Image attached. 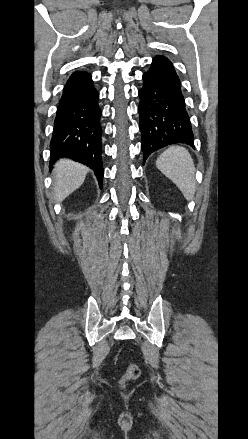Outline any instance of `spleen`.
<instances>
[{
  "label": "spleen",
  "mask_w": 248,
  "mask_h": 439,
  "mask_svg": "<svg viewBox=\"0 0 248 439\" xmlns=\"http://www.w3.org/2000/svg\"><path fill=\"white\" fill-rule=\"evenodd\" d=\"M156 166L187 200L193 199L196 191L195 166L186 148L178 145L169 147L157 158Z\"/></svg>",
  "instance_id": "1"
}]
</instances>
